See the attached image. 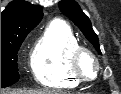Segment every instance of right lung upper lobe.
Here are the masks:
<instances>
[{
  "label": "right lung upper lobe",
  "instance_id": "right-lung-upper-lobe-1",
  "mask_svg": "<svg viewBox=\"0 0 121 94\" xmlns=\"http://www.w3.org/2000/svg\"><path fill=\"white\" fill-rule=\"evenodd\" d=\"M43 17V9L25 0H14L1 13V39L31 31Z\"/></svg>",
  "mask_w": 121,
  "mask_h": 94
}]
</instances>
